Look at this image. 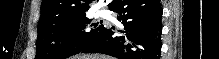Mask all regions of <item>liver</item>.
Segmentation results:
<instances>
[{
  "instance_id": "1",
  "label": "liver",
  "mask_w": 219,
  "mask_h": 59,
  "mask_svg": "<svg viewBox=\"0 0 219 59\" xmlns=\"http://www.w3.org/2000/svg\"><path fill=\"white\" fill-rule=\"evenodd\" d=\"M72 59H112L109 56L99 55V54H93V55H79L74 56Z\"/></svg>"
}]
</instances>
